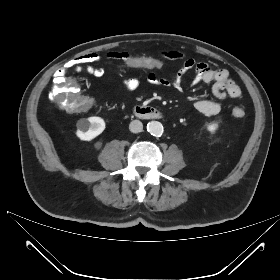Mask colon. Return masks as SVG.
<instances>
[{
    "mask_svg": "<svg viewBox=\"0 0 280 280\" xmlns=\"http://www.w3.org/2000/svg\"><path fill=\"white\" fill-rule=\"evenodd\" d=\"M119 66L123 70L130 68H139L142 72L149 70L156 72H163L167 68L165 60L148 56L146 54L130 55L123 57L119 61ZM67 72H57L55 81L53 83L49 98L51 101L61 103L66 108H72L74 112L81 113L84 110H88L92 106V101L88 97H80L78 94H68V88L73 84L72 80L66 77ZM245 114L242 108H235L233 115L235 117H243Z\"/></svg>",
    "mask_w": 280,
    "mask_h": 280,
    "instance_id": "colon-1",
    "label": "colon"
}]
</instances>
